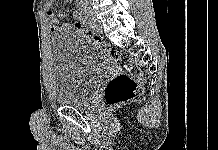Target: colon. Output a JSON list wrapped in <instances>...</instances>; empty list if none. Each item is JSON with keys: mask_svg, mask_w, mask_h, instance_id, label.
Here are the masks:
<instances>
[{"mask_svg": "<svg viewBox=\"0 0 218 150\" xmlns=\"http://www.w3.org/2000/svg\"><path fill=\"white\" fill-rule=\"evenodd\" d=\"M75 28L90 37L111 59L120 61L121 55L96 35L88 26L75 23ZM125 72L112 78L106 85L104 97L110 108H117L143 92L144 77L141 69L125 63Z\"/></svg>", "mask_w": 218, "mask_h": 150, "instance_id": "1", "label": "colon"}]
</instances>
